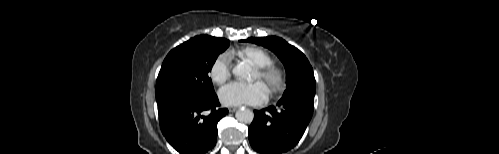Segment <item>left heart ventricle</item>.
Listing matches in <instances>:
<instances>
[{
    "instance_id": "1",
    "label": "left heart ventricle",
    "mask_w": 499,
    "mask_h": 154,
    "mask_svg": "<svg viewBox=\"0 0 499 154\" xmlns=\"http://www.w3.org/2000/svg\"><path fill=\"white\" fill-rule=\"evenodd\" d=\"M253 80H261V79L259 78V75H258L257 71H256V72H255V74H254Z\"/></svg>"
}]
</instances>
